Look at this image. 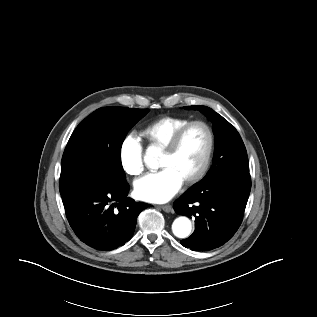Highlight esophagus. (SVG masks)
<instances>
[{
	"label": "esophagus",
	"mask_w": 317,
	"mask_h": 317,
	"mask_svg": "<svg viewBox=\"0 0 317 317\" xmlns=\"http://www.w3.org/2000/svg\"><path fill=\"white\" fill-rule=\"evenodd\" d=\"M161 209L167 213H170L173 211V208L171 205L167 204V205H162L161 206Z\"/></svg>",
	"instance_id": "esophagus-1"
}]
</instances>
